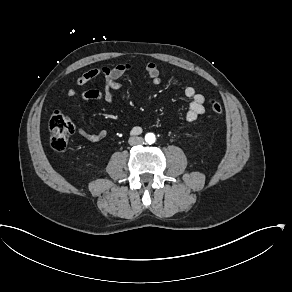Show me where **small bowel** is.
Segmentation results:
<instances>
[{
	"label": "small bowel",
	"mask_w": 292,
	"mask_h": 292,
	"mask_svg": "<svg viewBox=\"0 0 292 292\" xmlns=\"http://www.w3.org/2000/svg\"><path fill=\"white\" fill-rule=\"evenodd\" d=\"M130 69V64L122 63L114 67H100L87 70L76 79L77 85L85 86L93 79L102 77L105 81L106 89L104 92L97 89L85 90L81 94L82 98L93 101L104 99L109 104H115L117 101V91L121 88L119 79ZM146 72L152 84L158 85L161 82V72L155 63H148L146 65ZM184 94L191 100L185 114V119L188 122H194L205 112V97L198 93L192 85L185 86ZM66 96L69 99H73L76 97V91L70 88L66 91ZM76 132L80 137L90 142H98L107 136L105 130L90 132L81 126L76 128Z\"/></svg>",
	"instance_id": "c3829d8e"
}]
</instances>
